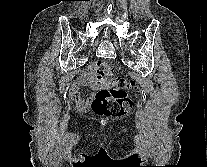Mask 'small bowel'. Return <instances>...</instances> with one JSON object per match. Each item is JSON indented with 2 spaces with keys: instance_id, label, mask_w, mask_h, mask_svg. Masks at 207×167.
<instances>
[{
  "instance_id": "c3829d8e",
  "label": "small bowel",
  "mask_w": 207,
  "mask_h": 167,
  "mask_svg": "<svg viewBox=\"0 0 207 167\" xmlns=\"http://www.w3.org/2000/svg\"><path fill=\"white\" fill-rule=\"evenodd\" d=\"M85 86L95 89V85L91 80V75L89 72L81 74L70 89L71 99L73 100L75 105L82 111H86L89 109L91 101L94 97V93H89L83 98L80 96V91Z\"/></svg>"
}]
</instances>
